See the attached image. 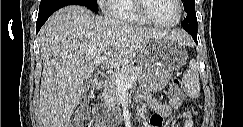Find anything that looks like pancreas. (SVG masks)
<instances>
[{
	"label": "pancreas",
	"mask_w": 243,
	"mask_h": 127,
	"mask_svg": "<svg viewBox=\"0 0 243 127\" xmlns=\"http://www.w3.org/2000/svg\"><path fill=\"white\" fill-rule=\"evenodd\" d=\"M115 74H122L126 79H129L131 77L138 79L137 68L133 65L125 66ZM115 74L110 78L108 85L104 88L101 98L105 102L104 105L108 106L109 109L119 110V106H120L119 87L120 86L116 82Z\"/></svg>",
	"instance_id": "obj_1"
}]
</instances>
